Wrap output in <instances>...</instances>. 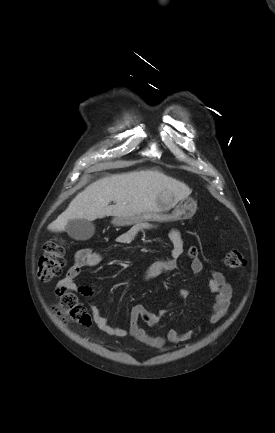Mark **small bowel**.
I'll list each match as a JSON object with an SVG mask.
<instances>
[{"label":"small bowel","mask_w":275,"mask_h":433,"mask_svg":"<svg viewBox=\"0 0 275 433\" xmlns=\"http://www.w3.org/2000/svg\"><path fill=\"white\" fill-rule=\"evenodd\" d=\"M137 234V229H130L120 234L117 237V242L120 245H130ZM169 237L172 243L170 258L156 261L148 266L142 272L143 280H152L163 273L172 272L176 269V261L184 252L183 240L178 229H172L169 233ZM187 254L191 259V270L193 274H200L203 270V264L199 258L198 248L196 246L189 247ZM103 260L104 256L91 248L79 250L74 256L73 265L69 268L65 277L60 280L59 288H65L84 296H91L93 294L92 288L77 284L76 279L80 275L82 268L98 266ZM208 286L211 293L214 295V305L208 317V321L215 324L221 321L228 313L232 297V288L225 276L217 270L211 271ZM180 296L185 298L187 297V293L181 292ZM90 310L96 325L103 332L120 338L129 334L138 341L156 350H168L170 347L167 345V341L173 345H178L192 339L197 333V330L181 332L177 329H171L167 337L148 333L140 326L139 320H142L150 328H156L159 325L160 318L163 316L164 311L154 313L142 304H137L131 309L128 330L111 326L96 306L91 305Z\"/></svg>","instance_id":"1"}]
</instances>
